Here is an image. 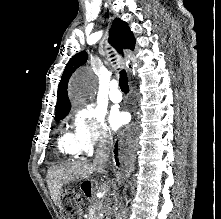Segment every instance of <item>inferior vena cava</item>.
Masks as SVG:
<instances>
[{
  "mask_svg": "<svg viewBox=\"0 0 221 219\" xmlns=\"http://www.w3.org/2000/svg\"><path fill=\"white\" fill-rule=\"evenodd\" d=\"M112 150V142L110 140H103L98 145L95 158L93 160V165L96 170L100 173H105V166L109 158V154Z\"/></svg>",
  "mask_w": 221,
  "mask_h": 219,
  "instance_id": "inferior-vena-cava-1",
  "label": "inferior vena cava"
}]
</instances>
